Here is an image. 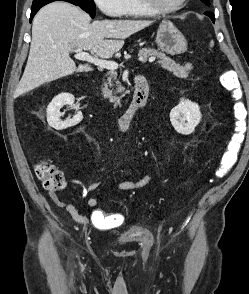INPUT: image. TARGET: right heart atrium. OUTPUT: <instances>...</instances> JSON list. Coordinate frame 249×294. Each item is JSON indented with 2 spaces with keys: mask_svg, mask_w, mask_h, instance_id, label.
Returning a JSON list of instances; mask_svg holds the SVG:
<instances>
[{
  "mask_svg": "<svg viewBox=\"0 0 249 294\" xmlns=\"http://www.w3.org/2000/svg\"><path fill=\"white\" fill-rule=\"evenodd\" d=\"M122 0H94L97 7L108 16H120Z\"/></svg>",
  "mask_w": 249,
  "mask_h": 294,
  "instance_id": "obj_1",
  "label": "right heart atrium"
}]
</instances>
